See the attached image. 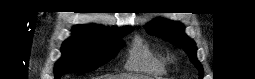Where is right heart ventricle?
<instances>
[{
	"label": "right heart ventricle",
	"mask_w": 255,
	"mask_h": 79,
	"mask_svg": "<svg viewBox=\"0 0 255 79\" xmlns=\"http://www.w3.org/2000/svg\"><path fill=\"white\" fill-rule=\"evenodd\" d=\"M125 68L135 72L163 74L166 71V60L141 38H136L129 50Z\"/></svg>",
	"instance_id": "1"
}]
</instances>
